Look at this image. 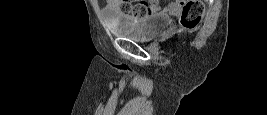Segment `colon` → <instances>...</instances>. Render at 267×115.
Segmentation results:
<instances>
[{
	"label": "colon",
	"instance_id": "1",
	"mask_svg": "<svg viewBox=\"0 0 267 115\" xmlns=\"http://www.w3.org/2000/svg\"><path fill=\"white\" fill-rule=\"evenodd\" d=\"M121 8L124 13L132 14L136 17L157 11L156 6L143 3L132 5L130 1H123ZM203 12L204 5L201 2L188 1L183 5V8L181 10L180 22L185 27H195L201 20Z\"/></svg>",
	"mask_w": 267,
	"mask_h": 115
}]
</instances>
